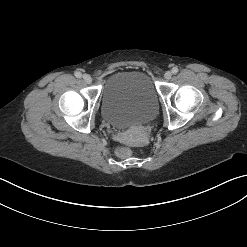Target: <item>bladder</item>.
I'll list each match as a JSON object with an SVG mask.
<instances>
[{"instance_id": "31cf9c89", "label": "bladder", "mask_w": 247, "mask_h": 247, "mask_svg": "<svg viewBox=\"0 0 247 247\" xmlns=\"http://www.w3.org/2000/svg\"><path fill=\"white\" fill-rule=\"evenodd\" d=\"M158 105V92L151 78L144 72H117L103 84L102 117L117 129L150 123L157 115Z\"/></svg>"}]
</instances>
